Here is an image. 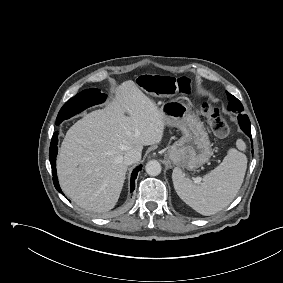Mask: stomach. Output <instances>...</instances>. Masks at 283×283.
<instances>
[{
  "instance_id": "stomach-1",
  "label": "stomach",
  "mask_w": 283,
  "mask_h": 283,
  "mask_svg": "<svg viewBox=\"0 0 283 283\" xmlns=\"http://www.w3.org/2000/svg\"><path fill=\"white\" fill-rule=\"evenodd\" d=\"M165 117V124L177 127L182 137L168 151V158L182 169L193 170L209 161L212 146L203 123L181 101L170 100L160 108Z\"/></svg>"
}]
</instances>
